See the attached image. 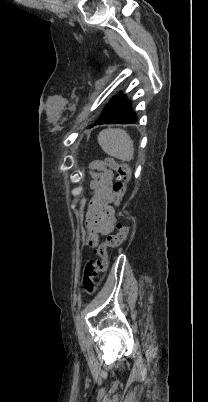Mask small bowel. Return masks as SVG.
Here are the masks:
<instances>
[{
    "label": "small bowel",
    "mask_w": 208,
    "mask_h": 402,
    "mask_svg": "<svg viewBox=\"0 0 208 402\" xmlns=\"http://www.w3.org/2000/svg\"><path fill=\"white\" fill-rule=\"evenodd\" d=\"M91 169L92 193L88 202L85 229L87 245L96 247L99 239L112 234L117 226L115 211L111 206L114 173L101 161L93 162Z\"/></svg>",
    "instance_id": "obj_1"
}]
</instances>
